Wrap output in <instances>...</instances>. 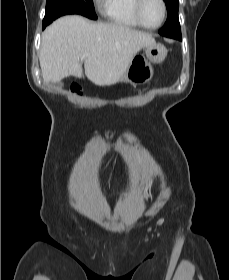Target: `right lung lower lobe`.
Wrapping results in <instances>:
<instances>
[{
	"instance_id": "98d812e1",
	"label": "right lung lower lobe",
	"mask_w": 229,
	"mask_h": 280,
	"mask_svg": "<svg viewBox=\"0 0 229 280\" xmlns=\"http://www.w3.org/2000/svg\"><path fill=\"white\" fill-rule=\"evenodd\" d=\"M46 26H47V24L43 22V29H44Z\"/></svg>"
}]
</instances>
